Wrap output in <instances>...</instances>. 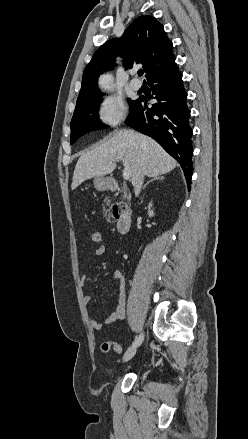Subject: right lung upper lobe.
<instances>
[{"label":"right lung upper lobe","instance_id":"obj_1","mask_svg":"<svg viewBox=\"0 0 248 439\" xmlns=\"http://www.w3.org/2000/svg\"><path fill=\"white\" fill-rule=\"evenodd\" d=\"M173 44L167 37L163 25L152 16H140L124 32L120 39L104 43L86 66L76 108L98 98L101 93L97 80L105 70L114 67L115 57L120 55L126 69L134 64H143L146 78L163 71L175 63Z\"/></svg>","mask_w":248,"mask_h":439}]
</instances>
